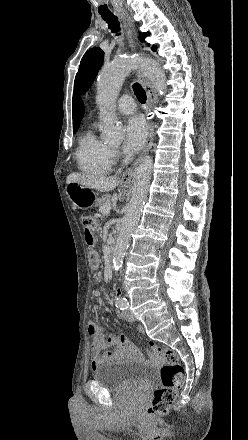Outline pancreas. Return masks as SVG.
I'll list each match as a JSON object with an SVG mask.
<instances>
[{
    "label": "pancreas",
    "instance_id": "1",
    "mask_svg": "<svg viewBox=\"0 0 248 440\" xmlns=\"http://www.w3.org/2000/svg\"><path fill=\"white\" fill-rule=\"evenodd\" d=\"M111 205V196L110 195H104L101 198L97 199V206L99 207V212L101 214L103 213V207Z\"/></svg>",
    "mask_w": 248,
    "mask_h": 440
}]
</instances>
